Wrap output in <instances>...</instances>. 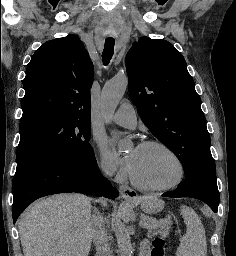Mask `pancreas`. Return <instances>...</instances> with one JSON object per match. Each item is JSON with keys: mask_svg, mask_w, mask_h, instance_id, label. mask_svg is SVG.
I'll list each match as a JSON object with an SVG mask.
<instances>
[{"mask_svg": "<svg viewBox=\"0 0 236 256\" xmlns=\"http://www.w3.org/2000/svg\"><path fill=\"white\" fill-rule=\"evenodd\" d=\"M144 220L145 222H143L141 226H143V228H146V230H148L147 236H149V238H151V236H157V234H160L161 232L160 226H155L151 218H144Z\"/></svg>", "mask_w": 236, "mask_h": 256, "instance_id": "obj_1", "label": "pancreas"}]
</instances>
